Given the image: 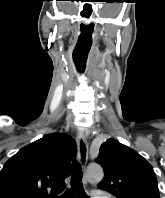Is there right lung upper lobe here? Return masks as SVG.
<instances>
[{"label": "right lung upper lobe", "mask_w": 165, "mask_h": 198, "mask_svg": "<svg viewBox=\"0 0 165 198\" xmlns=\"http://www.w3.org/2000/svg\"><path fill=\"white\" fill-rule=\"evenodd\" d=\"M76 143L63 133H52L23 147L0 172V198H48L61 193L70 174Z\"/></svg>", "instance_id": "cb5924a9"}]
</instances>
